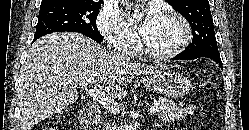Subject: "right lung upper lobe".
Segmentation results:
<instances>
[{
	"mask_svg": "<svg viewBox=\"0 0 249 130\" xmlns=\"http://www.w3.org/2000/svg\"><path fill=\"white\" fill-rule=\"evenodd\" d=\"M61 1H64V0H42L41 6L47 5V4H52V3H58ZM89 1H92V0H89ZM99 1L102 2V0H99Z\"/></svg>",
	"mask_w": 249,
	"mask_h": 130,
	"instance_id": "right-lung-upper-lobe-1",
	"label": "right lung upper lobe"
}]
</instances>
